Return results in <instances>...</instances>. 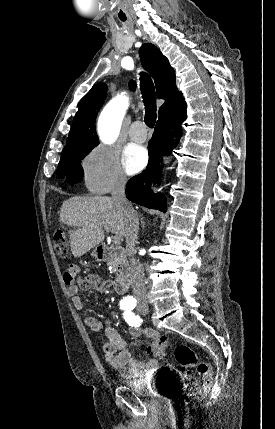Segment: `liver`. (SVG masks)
<instances>
[{
    "label": "liver",
    "mask_w": 275,
    "mask_h": 429,
    "mask_svg": "<svg viewBox=\"0 0 275 429\" xmlns=\"http://www.w3.org/2000/svg\"><path fill=\"white\" fill-rule=\"evenodd\" d=\"M60 219L69 227L71 251L81 257L101 244L105 238L103 228L125 236V220L116 202L107 196H75L66 200L60 208Z\"/></svg>",
    "instance_id": "liver-1"
}]
</instances>
